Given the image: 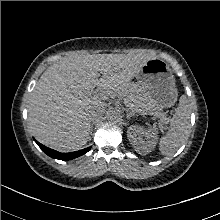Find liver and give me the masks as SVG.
I'll list each match as a JSON object with an SVG mask.
<instances>
[{"label":"liver","instance_id":"6515ba94","mask_svg":"<svg viewBox=\"0 0 220 220\" xmlns=\"http://www.w3.org/2000/svg\"><path fill=\"white\" fill-rule=\"evenodd\" d=\"M150 59L153 57L130 53L78 54L49 66L28 104L35 138L60 152L82 148L91 131L90 112L120 96ZM95 87L98 93H93Z\"/></svg>","mask_w":220,"mask_h":220}]
</instances>
